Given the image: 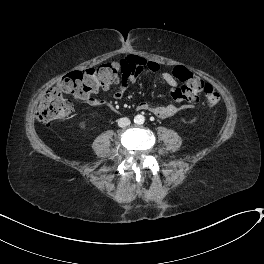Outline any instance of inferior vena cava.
I'll return each instance as SVG.
<instances>
[{"label": "inferior vena cava", "mask_w": 264, "mask_h": 264, "mask_svg": "<svg viewBox=\"0 0 264 264\" xmlns=\"http://www.w3.org/2000/svg\"><path fill=\"white\" fill-rule=\"evenodd\" d=\"M130 119L129 118H127V117H123V118H120L119 120H118V126L119 127H127V126H129L130 125Z\"/></svg>", "instance_id": "602c4592"}]
</instances>
